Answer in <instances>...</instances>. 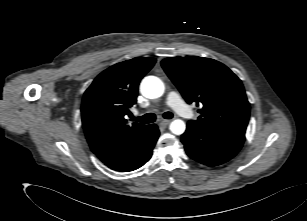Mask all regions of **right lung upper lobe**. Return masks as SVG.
I'll return each mask as SVG.
<instances>
[{"label": "right lung upper lobe", "instance_id": "right-lung-upper-lobe-1", "mask_svg": "<svg viewBox=\"0 0 307 221\" xmlns=\"http://www.w3.org/2000/svg\"><path fill=\"white\" fill-rule=\"evenodd\" d=\"M156 59L138 57L117 63L99 74L86 90L81 107L89 146L106 163L132 144L148 126L125 124L136 103L138 86Z\"/></svg>", "mask_w": 307, "mask_h": 221}]
</instances>
